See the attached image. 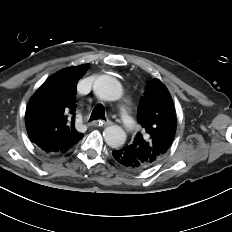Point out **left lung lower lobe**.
I'll return each instance as SVG.
<instances>
[{"mask_svg": "<svg viewBox=\"0 0 232 232\" xmlns=\"http://www.w3.org/2000/svg\"><path fill=\"white\" fill-rule=\"evenodd\" d=\"M112 156L115 162L123 166L126 169L139 171L141 169V163L139 160L130 152L127 146L112 151Z\"/></svg>", "mask_w": 232, "mask_h": 232, "instance_id": "0a47b994", "label": "left lung lower lobe"}]
</instances>
